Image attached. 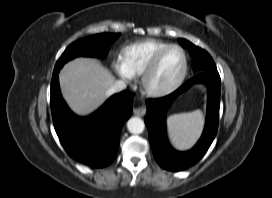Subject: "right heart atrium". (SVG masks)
I'll list each match as a JSON object with an SVG mask.
<instances>
[{"label": "right heart atrium", "mask_w": 272, "mask_h": 198, "mask_svg": "<svg viewBox=\"0 0 272 198\" xmlns=\"http://www.w3.org/2000/svg\"><path fill=\"white\" fill-rule=\"evenodd\" d=\"M115 70L117 74L123 79L130 81L133 78V75L123 66L121 61H116Z\"/></svg>", "instance_id": "obj_1"}]
</instances>
